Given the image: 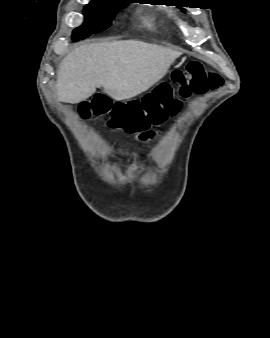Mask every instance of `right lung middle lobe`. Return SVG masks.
Wrapping results in <instances>:
<instances>
[{
    "label": "right lung middle lobe",
    "mask_w": 270,
    "mask_h": 338,
    "mask_svg": "<svg viewBox=\"0 0 270 338\" xmlns=\"http://www.w3.org/2000/svg\"><path fill=\"white\" fill-rule=\"evenodd\" d=\"M126 3V0H92L84 7L85 22L73 31V40L107 29L114 15Z\"/></svg>",
    "instance_id": "obj_1"
}]
</instances>
